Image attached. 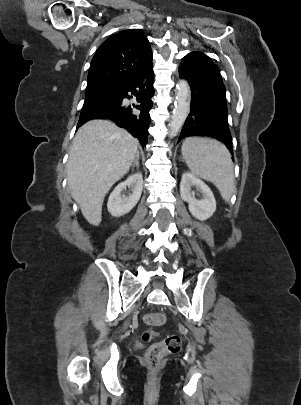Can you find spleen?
<instances>
[{
    "label": "spleen",
    "instance_id": "spleen-1",
    "mask_svg": "<svg viewBox=\"0 0 301 405\" xmlns=\"http://www.w3.org/2000/svg\"><path fill=\"white\" fill-rule=\"evenodd\" d=\"M181 150L191 172L212 182L223 199L229 201L234 188V172L227 148L216 140L191 137L183 142Z\"/></svg>",
    "mask_w": 301,
    "mask_h": 405
}]
</instances>
